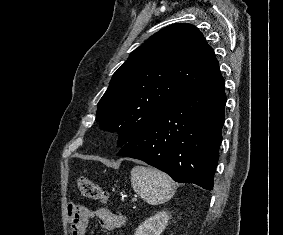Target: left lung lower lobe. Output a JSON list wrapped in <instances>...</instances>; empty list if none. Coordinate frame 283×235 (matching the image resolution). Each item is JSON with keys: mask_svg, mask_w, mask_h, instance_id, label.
<instances>
[{"mask_svg": "<svg viewBox=\"0 0 283 235\" xmlns=\"http://www.w3.org/2000/svg\"><path fill=\"white\" fill-rule=\"evenodd\" d=\"M226 103L218 71L127 142L118 156L142 160L180 183L212 190Z\"/></svg>", "mask_w": 283, "mask_h": 235, "instance_id": "0a47b994", "label": "left lung lower lobe"}]
</instances>
